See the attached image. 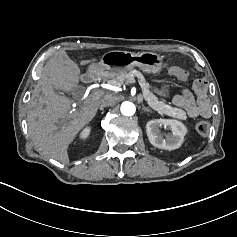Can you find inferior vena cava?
<instances>
[{
    "label": "inferior vena cava",
    "instance_id": "602c4592",
    "mask_svg": "<svg viewBox=\"0 0 237 237\" xmlns=\"http://www.w3.org/2000/svg\"><path fill=\"white\" fill-rule=\"evenodd\" d=\"M116 98L113 96H106L101 101V107L112 106L116 104Z\"/></svg>",
    "mask_w": 237,
    "mask_h": 237
}]
</instances>
